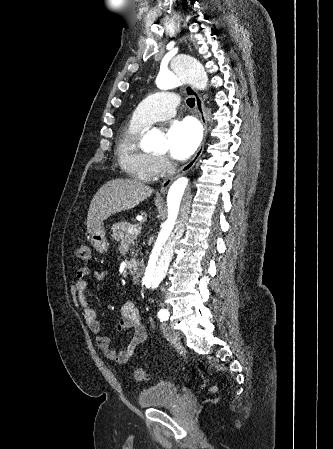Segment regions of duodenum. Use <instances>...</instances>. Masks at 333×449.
Wrapping results in <instances>:
<instances>
[{
    "label": "duodenum",
    "mask_w": 333,
    "mask_h": 449,
    "mask_svg": "<svg viewBox=\"0 0 333 449\" xmlns=\"http://www.w3.org/2000/svg\"><path fill=\"white\" fill-rule=\"evenodd\" d=\"M130 275L134 284H139L142 278L143 268L140 264H136L130 267Z\"/></svg>",
    "instance_id": "410a0bca"
}]
</instances>
